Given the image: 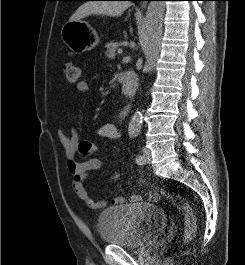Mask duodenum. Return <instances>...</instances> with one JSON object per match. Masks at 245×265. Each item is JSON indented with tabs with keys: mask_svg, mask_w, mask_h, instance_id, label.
<instances>
[{
	"mask_svg": "<svg viewBox=\"0 0 245 265\" xmlns=\"http://www.w3.org/2000/svg\"><path fill=\"white\" fill-rule=\"evenodd\" d=\"M118 82L122 85L123 92L126 96L133 98L138 88V77L133 71H123L117 75Z\"/></svg>",
	"mask_w": 245,
	"mask_h": 265,
	"instance_id": "duodenum-1",
	"label": "duodenum"
}]
</instances>
